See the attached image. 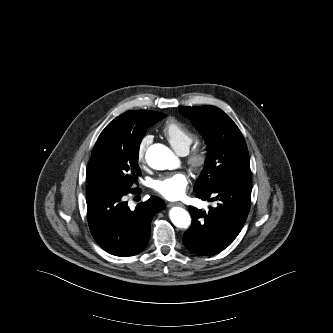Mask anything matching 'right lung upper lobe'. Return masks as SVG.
I'll use <instances>...</instances> for the list:
<instances>
[{"label":"right lung upper lobe","instance_id":"right-lung-upper-lobe-1","mask_svg":"<svg viewBox=\"0 0 333 333\" xmlns=\"http://www.w3.org/2000/svg\"><path fill=\"white\" fill-rule=\"evenodd\" d=\"M150 111H145V110H134V111H128L122 115H120L119 117H117L116 119H114L112 122H110L108 124V126H126L129 124H132V116L134 115H138V114H145V113H149Z\"/></svg>","mask_w":333,"mask_h":333}]
</instances>
